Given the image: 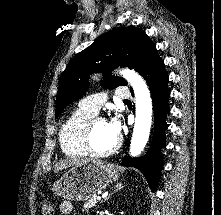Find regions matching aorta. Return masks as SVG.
Here are the masks:
<instances>
[{"label":"aorta","instance_id":"aorta-1","mask_svg":"<svg viewBox=\"0 0 221 215\" xmlns=\"http://www.w3.org/2000/svg\"><path fill=\"white\" fill-rule=\"evenodd\" d=\"M122 75L133 88L135 95V124L130 144V155L138 156L145 148L152 123V99L143 78L133 70L122 69Z\"/></svg>","mask_w":221,"mask_h":215}]
</instances>
